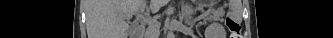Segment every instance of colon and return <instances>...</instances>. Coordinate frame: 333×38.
I'll list each match as a JSON object with an SVG mask.
<instances>
[{
	"label": "colon",
	"mask_w": 333,
	"mask_h": 38,
	"mask_svg": "<svg viewBox=\"0 0 333 38\" xmlns=\"http://www.w3.org/2000/svg\"><path fill=\"white\" fill-rule=\"evenodd\" d=\"M225 23L231 33L230 38H242L241 26L239 22H237L232 17H226Z\"/></svg>",
	"instance_id": "obj_1"
}]
</instances>
